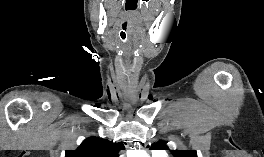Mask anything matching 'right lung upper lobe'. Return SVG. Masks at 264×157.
<instances>
[{"label": "right lung upper lobe", "mask_w": 264, "mask_h": 157, "mask_svg": "<svg viewBox=\"0 0 264 157\" xmlns=\"http://www.w3.org/2000/svg\"><path fill=\"white\" fill-rule=\"evenodd\" d=\"M123 148L122 143L89 137L76 150H67L65 157H119L118 152Z\"/></svg>", "instance_id": "obj_1"}]
</instances>
